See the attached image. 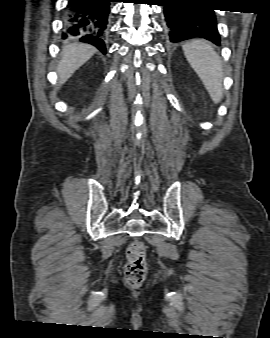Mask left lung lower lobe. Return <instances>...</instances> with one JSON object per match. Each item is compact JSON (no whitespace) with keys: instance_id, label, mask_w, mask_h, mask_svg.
<instances>
[{"instance_id":"1","label":"left lung lower lobe","mask_w":270,"mask_h":338,"mask_svg":"<svg viewBox=\"0 0 270 338\" xmlns=\"http://www.w3.org/2000/svg\"><path fill=\"white\" fill-rule=\"evenodd\" d=\"M162 3L165 6V32L171 43L204 38L220 45L221 39L212 7L199 0H162Z\"/></svg>"}]
</instances>
